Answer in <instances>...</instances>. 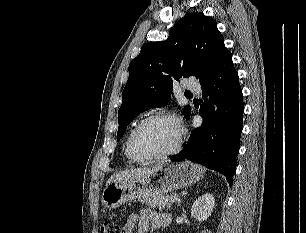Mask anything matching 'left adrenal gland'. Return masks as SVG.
<instances>
[{
    "label": "left adrenal gland",
    "instance_id": "a2214340",
    "mask_svg": "<svg viewBox=\"0 0 306 233\" xmlns=\"http://www.w3.org/2000/svg\"><path fill=\"white\" fill-rule=\"evenodd\" d=\"M180 204H181V201L178 203V206H180Z\"/></svg>",
    "mask_w": 306,
    "mask_h": 233
}]
</instances>
